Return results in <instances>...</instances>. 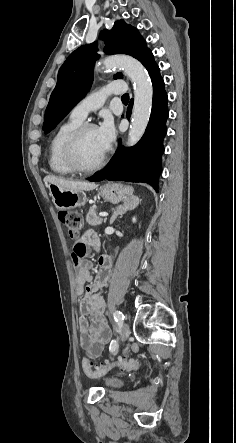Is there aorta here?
<instances>
[{
	"instance_id": "aorta-1",
	"label": "aorta",
	"mask_w": 236,
	"mask_h": 443,
	"mask_svg": "<svg viewBox=\"0 0 236 443\" xmlns=\"http://www.w3.org/2000/svg\"><path fill=\"white\" fill-rule=\"evenodd\" d=\"M115 67H121L134 83V106L128 134V144L133 146L141 139L149 122L153 88L144 66L138 60L125 55L111 56L103 61L101 69Z\"/></svg>"
}]
</instances>
